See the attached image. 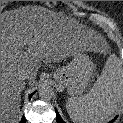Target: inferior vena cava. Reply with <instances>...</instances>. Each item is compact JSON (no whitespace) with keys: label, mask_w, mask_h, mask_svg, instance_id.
Instances as JSON below:
<instances>
[{"label":"inferior vena cava","mask_w":123,"mask_h":123,"mask_svg":"<svg viewBox=\"0 0 123 123\" xmlns=\"http://www.w3.org/2000/svg\"><path fill=\"white\" fill-rule=\"evenodd\" d=\"M30 75L29 73L23 71L22 74L20 75V78L22 79H29Z\"/></svg>","instance_id":"602c4592"}]
</instances>
